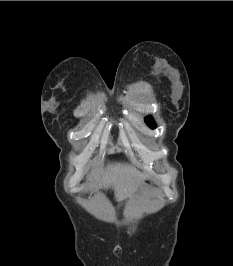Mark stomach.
<instances>
[{
  "mask_svg": "<svg viewBox=\"0 0 233 266\" xmlns=\"http://www.w3.org/2000/svg\"><path fill=\"white\" fill-rule=\"evenodd\" d=\"M157 186L158 184L149 178L143 179L141 183V188L147 189V190L155 189Z\"/></svg>",
  "mask_w": 233,
  "mask_h": 266,
  "instance_id": "1",
  "label": "stomach"
}]
</instances>
